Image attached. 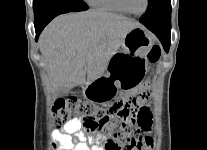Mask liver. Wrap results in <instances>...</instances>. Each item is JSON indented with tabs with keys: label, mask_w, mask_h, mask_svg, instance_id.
<instances>
[{
	"label": "liver",
	"mask_w": 207,
	"mask_h": 150,
	"mask_svg": "<svg viewBox=\"0 0 207 150\" xmlns=\"http://www.w3.org/2000/svg\"><path fill=\"white\" fill-rule=\"evenodd\" d=\"M140 23L102 11L63 14L43 30L39 47L48 67L51 90L66 92L104 75L127 32Z\"/></svg>",
	"instance_id": "6515ba94"
}]
</instances>
